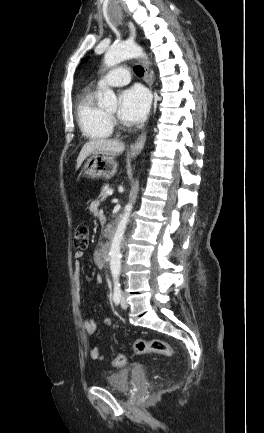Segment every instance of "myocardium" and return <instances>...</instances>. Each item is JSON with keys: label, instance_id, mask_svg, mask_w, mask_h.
<instances>
[{"label": "myocardium", "instance_id": "1", "mask_svg": "<svg viewBox=\"0 0 264 433\" xmlns=\"http://www.w3.org/2000/svg\"><path fill=\"white\" fill-rule=\"evenodd\" d=\"M107 115H108L110 121L115 122V120H114V115H113V114H111V113H107Z\"/></svg>", "mask_w": 264, "mask_h": 433}]
</instances>
